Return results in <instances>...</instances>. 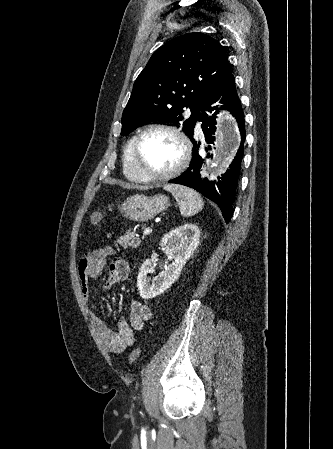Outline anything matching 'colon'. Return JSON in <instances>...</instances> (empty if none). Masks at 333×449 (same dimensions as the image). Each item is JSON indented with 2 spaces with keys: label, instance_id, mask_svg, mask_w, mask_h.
<instances>
[{
  "label": "colon",
  "instance_id": "obj_1",
  "mask_svg": "<svg viewBox=\"0 0 333 449\" xmlns=\"http://www.w3.org/2000/svg\"><path fill=\"white\" fill-rule=\"evenodd\" d=\"M101 220H102V213L99 211L93 212L90 215V222L93 225L98 224ZM140 355H141V349L139 347L134 348L129 354V358H128L129 362L132 364L137 362Z\"/></svg>",
  "mask_w": 333,
  "mask_h": 449
}]
</instances>
